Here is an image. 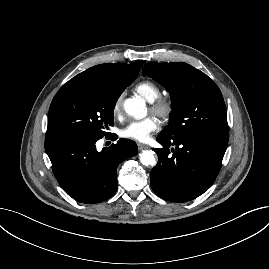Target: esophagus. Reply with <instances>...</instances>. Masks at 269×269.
Wrapping results in <instances>:
<instances>
[{
    "instance_id": "obj_1",
    "label": "esophagus",
    "mask_w": 269,
    "mask_h": 269,
    "mask_svg": "<svg viewBox=\"0 0 269 269\" xmlns=\"http://www.w3.org/2000/svg\"><path fill=\"white\" fill-rule=\"evenodd\" d=\"M148 148H149L148 145L138 143V149H139V150H144V149H148Z\"/></svg>"
}]
</instances>
